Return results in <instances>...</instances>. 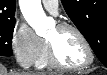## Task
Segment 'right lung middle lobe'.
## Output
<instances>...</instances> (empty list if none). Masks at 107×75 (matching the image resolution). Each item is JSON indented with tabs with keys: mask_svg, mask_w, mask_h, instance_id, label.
I'll return each instance as SVG.
<instances>
[{
	"mask_svg": "<svg viewBox=\"0 0 107 75\" xmlns=\"http://www.w3.org/2000/svg\"><path fill=\"white\" fill-rule=\"evenodd\" d=\"M15 20L0 21V56L12 55V36Z\"/></svg>",
	"mask_w": 107,
	"mask_h": 75,
	"instance_id": "right-lung-middle-lobe-1",
	"label": "right lung middle lobe"
}]
</instances>
